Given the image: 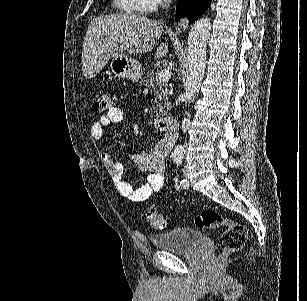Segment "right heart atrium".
Returning <instances> with one entry per match:
<instances>
[{
	"instance_id": "obj_1",
	"label": "right heart atrium",
	"mask_w": 307,
	"mask_h": 301,
	"mask_svg": "<svg viewBox=\"0 0 307 301\" xmlns=\"http://www.w3.org/2000/svg\"><path fill=\"white\" fill-rule=\"evenodd\" d=\"M157 7H162V0H141L135 5L136 11H157Z\"/></svg>"
}]
</instances>
